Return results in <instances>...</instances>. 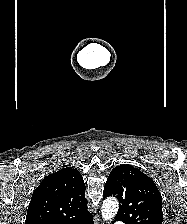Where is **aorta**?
Masks as SVG:
<instances>
[{
  "mask_svg": "<svg viewBox=\"0 0 187 224\" xmlns=\"http://www.w3.org/2000/svg\"><path fill=\"white\" fill-rule=\"evenodd\" d=\"M118 201L115 198H107L102 204V217L105 221H111L118 211Z\"/></svg>",
  "mask_w": 187,
  "mask_h": 224,
  "instance_id": "obj_1",
  "label": "aorta"
}]
</instances>
